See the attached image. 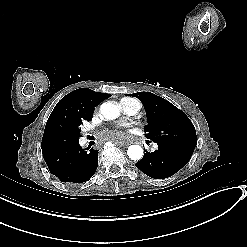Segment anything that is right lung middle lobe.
I'll return each mask as SVG.
<instances>
[{"label":"right lung middle lobe","instance_id":"1","mask_svg":"<svg viewBox=\"0 0 247 247\" xmlns=\"http://www.w3.org/2000/svg\"><path fill=\"white\" fill-rule=\"evenodd\" d=\"M79 136L80 129L57 135L50 141L43 151L50 152L69 147L79 141Z\"/></svg>","mask_w":247,"mask_h":247}]
</instances>
